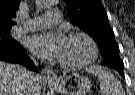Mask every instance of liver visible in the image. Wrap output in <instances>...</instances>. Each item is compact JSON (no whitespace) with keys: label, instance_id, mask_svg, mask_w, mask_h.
Instances as JSON below:
<instances>
[{"label":"liver","instance_id":"6515ba94","mask_svg":"<svg viewBox=\"0 0 135 95\" xmlns=\"http://www.w3.org/2000/svg\"><path fill=\"white\" fill-rule=\"evenodd\" d=\"M27 70L19 65L0 61V95H25L29 89ZM42 81L39 76L30 87L32 95H40Z\"/></svg>","mask_w":135,"mask_h":95}]
</instances>
